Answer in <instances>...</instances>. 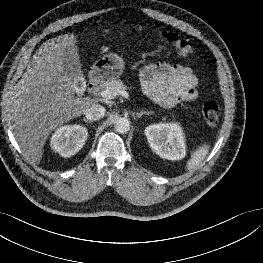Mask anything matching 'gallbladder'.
Masks as SVG:
<instances>
[{"instance_id":"gallbladder-1","label":"gallbladder","mask_w":263,"mask_h":263,"mask_svg":"<svg viewBox=\"0 0 263 263\" xmlns=\"http://www.w3.org/2000/svg\"><path fill=\"white\" fill-rule=\"evenodd\" d=\"M63 66L72 82L83 77L79 55L72 49H66L63 56Z\"/></svg>"}]
</instances>
